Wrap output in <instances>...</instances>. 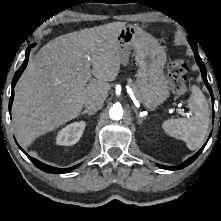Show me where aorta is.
<instances>
[{
	"instance_id": "1",
	"label": "aorta",
	"mask_w": 221,
	"mask_h": 221,
	"mask_svg": "<svg viewBox=\"0 0 221 221\" xmlns=\"http://www.w3.org/2000/svg\"><path fill=\"white\" fill-rule=\"evenodd\" d=\"M109 116L112 120H120L123 117V109L119 104H114L109 110Z\"/></svg>"
}]
</instances>
